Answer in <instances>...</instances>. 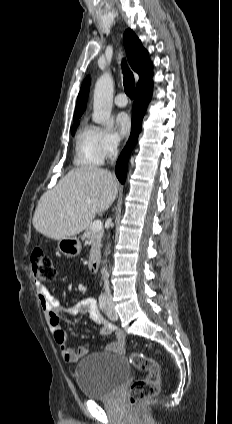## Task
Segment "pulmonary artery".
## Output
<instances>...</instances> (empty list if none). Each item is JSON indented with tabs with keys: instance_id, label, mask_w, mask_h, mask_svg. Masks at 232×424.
I'll return each mask as SVG.
<instances>
[{
	"instance_id": "pulmonary-artery-1",
	"label": "pulmonary artery",
	"mask_w": 232,
	"mask_h": 424,
	"mask_svg": "<svg viewBox=\"0 0 232 424\" xmlns=\"http://www.w3.org/2000/svg\"><path fill=\"white\" fill-rule=\"evenodd\" d=\"M114 103L118 106V107H126L128 104V99L126 97V95L124 93H119L115 99H114Z\"/></svg>"
}]
</instances>
